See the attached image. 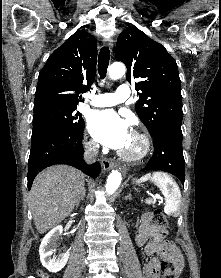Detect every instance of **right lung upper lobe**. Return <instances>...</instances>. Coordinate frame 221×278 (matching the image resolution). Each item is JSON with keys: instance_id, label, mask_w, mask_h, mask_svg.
<instances>
[{"instance_id": "cb5924a9", "label": "right lung upper lobe", "mask_w": 221, "mask_h": 278, "mask_svg": "<svg viewBox=\"0 0 221 278\" xmlns=\"http://www.w3.org/2000/svg\"><path fill=\"white\" fill-rule=\"evenodd\" d=\"M97 41L85 31H76L48 58L39 73L34 106L46 103L78 105L81 93L95 79Z\"/></svg>"}]
</instances>
